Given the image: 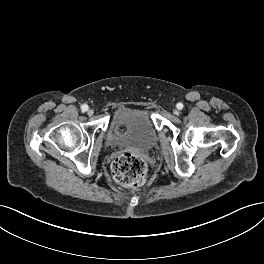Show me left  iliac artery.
Here are the masks:
<instances>
[{"mask_svg":"<svg viewBox=\"0 0 264 264\" xmlns=\"http://www.w3.org/2000/svg\"><path fill=\"white\" fill-rule=\"evenodd\" d=\"M177 108L180 109V110L183 109V104L182 103H178L177 104Z\"/></svg>","mask_w":264,"mask_h":264,"instance_id":"44dca946","label":"left iliac artery"}]
</instances>
